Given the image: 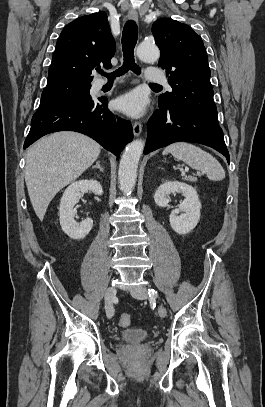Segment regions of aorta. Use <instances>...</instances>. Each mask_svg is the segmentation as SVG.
I'll return each mask as SVG.
<instances>
[{"mask_svg":"<svg viewBox=\"0 0 265 407\" xmlns=\"http://www.w3.org/2000/svg\"><path fill=\"white\" fill-rule=\"evenodd\" d=\"M137 56L144 62H155L160 57L158 47L150 43H141L137 47ZM144 141L137 139L129 143L120 160L118 178L120 190L130 194L136 183L137 168L144 149Z\"/></svg>","mask_w":265,"mask_h":407,"instance_id":"aorta-1","label":"aorta"}]
</instances>
